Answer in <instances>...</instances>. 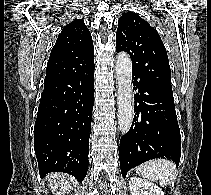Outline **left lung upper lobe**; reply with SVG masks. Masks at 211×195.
Listing matches in <instances>:
<instances>
[{"label": "left lung upper lobe", "mask_w": 211, "mask_h": 195, "mask_svg": "<svg viewBox=\"0 0 211 195\" xmlns=\"http://www.w3.org/2000/svg\"><path fill=\"white\" fill-rule=\"evenodd\" d=\"M116 51L129 53L132 74L173 98L171 71L165 46L156 29L138 14L128 12L119 18Z\"/></svg>", "instance_id": "obj_1"}]
</instances>
